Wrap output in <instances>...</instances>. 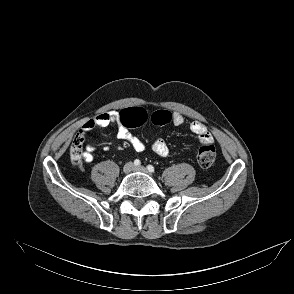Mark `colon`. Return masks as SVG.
Returning <instances> with one entry per match:
<instances>
[{
    "instance_id": "colon-1",
    "label": "colon",
    "mask_w": 294,
    "mask_h": 294,
    "mask_svg": "<svg viewBox=\"0 0 294 294\" xmlns=\"http://www.w3.org/2000/svg\"><path fill=\"white\" fill-rule=\"evenodd\" d=\"M150 117L151 121L155 125L163 126L172 122V113L167 110H157L151 113L142 107H130L122 110L119 113L120 122L125 127H138L143 125ZM84 142L83 133H77L70 147L71 159L78 163L81 160L82 145ZM216 159V150L213 145H203L197 154V162L201 168H209L213 165Z\"/></svg>"
}]
</instances>
